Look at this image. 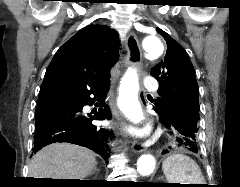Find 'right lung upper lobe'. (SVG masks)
Masks as SVG:
<instances>
[{"label":"right lung upper lobe","mask_w":240,"mask_h":187,"mask_svg":"<svg viewBox=\"0 0 240 187\" xmlns=\"http://www.w3.org/2000/svg\"><path fill=\"white\" fill-rule=\"evenodd\" d=\"M118 34L105 25H88L63 44L50 62L37 104L72 99L110 82L118 60Z\"/></svg>","instance_id":"1"}]
</instances>
